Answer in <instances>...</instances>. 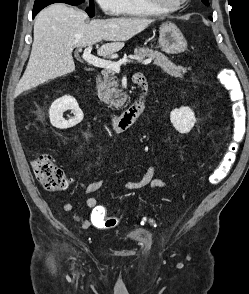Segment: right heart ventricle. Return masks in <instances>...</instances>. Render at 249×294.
Returning <instances> with one entry per match:
<instances>
[{
    "label": "right heart ventricle",
    "mask_w": 249,
    "mask_h": 294,
    "mask_svg": "<svg viewBox=\"0 0 249 294\" xmlns=\"http://www.w3.org/2000/svg\"><path fill=\"white\" fill-rule=\"evenodd\" d=\"M119 14L145 17L158 15V12L149 7L145 0H119Z\"/></svg>",
    "instance_id": "1"
}]
</instances>
